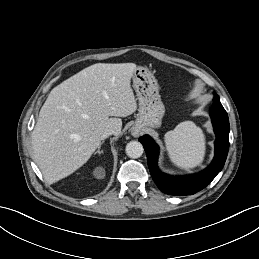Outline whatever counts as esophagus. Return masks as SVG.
I'll return each instance as SVG.
<instances>
[{
  "mask_svg": "<svg viewBox=\"0 0 259 259\" xmlns=\"http://www.w3.org/2000/svg\"><path fill=\"white\" fill-rule=\"evenodd\" d=\"M131 134L134 137H138L141 134V129L137 126H133L131 129Z\"/></svg>",
  "mask_w": 259,
  "mask_h": 259,
  "instance_id": "1",
  "label": "esophagus"
}]
</instances>
